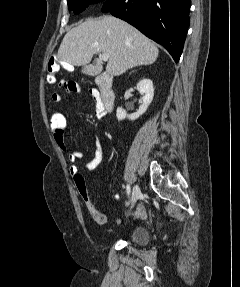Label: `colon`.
<instances>
[{"label": "colon", "instance_id": "5ec220e1", "mask_svg": "<svg viewBox=\"0 0 240 287\" xmlns=\"http://www.w3.org/2000/svg\"><path fill=\"white\" fill-rule=\"evenodd\" d=\"M47 71H48V78H47L48 82L54 83L56 81L55 75L58 71V62L56 58L51 57L49 59L48 65H47ZM59 86L67 89L68 91H75L79 87L77 83L73 81H66V80L60 81ZM49 123H50V127H51L53 134L55 135L64 134L67 122H66L65 116L61 112L53 111L50 114ZM74 182L77 187L78 193L81 197V200L83 201L87 211L92 216V218L98 224H101V225L106 224L108 222V219L105 214H103L96 208L89 194V191L87 189L83 176L80 174L74 175Z\"/></svg>", "mask_w": 240, "mask_h": 287}]
</instances>
